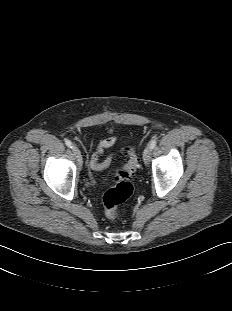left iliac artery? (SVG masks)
<instances>
[{"label":"left iliac artery","instance_id":"left-iliac-artery-1","mask_svg":"<svg viewBox=\"0 0 232 311\" xmlns=\"http://www.w3.org/2000/svg\"><path fill=\"white\" fill-rule=\"evenodd\" d=\"M156 144H157V140L153 139V140H151L149 146H150L151 149H153L156 146Z\"/></svg>","mask_w":232,"mask_h":311}]
</instances>
